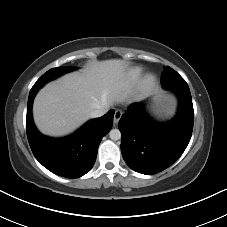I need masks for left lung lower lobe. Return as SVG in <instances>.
Returning <instances> with one entry per match:
<instances>
[{
	"mask_svg": "<svg viewBox=\"0 0 227 227\" xmlns=\"http://www.w3.org/2000/svg\"><path fill=\"white\" fill-rule=\"evenodd\" d=\"M178 97V113L168 123H156L143 103L131 104L119 121L121 152L127 165L152 175L171 166L186 149L193 130L194 110L189 88L169 89Z\"/></svg>",
	"mask_w": 227,
	"mask_h": 227,
	"instance_id": "obj_1",
	"label": "left lung lower lobe"
}]
</instances>
